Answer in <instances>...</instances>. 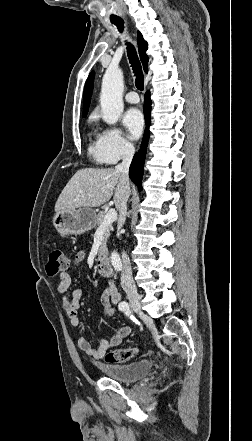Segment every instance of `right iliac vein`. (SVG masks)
<instances>
[{"instance_id":"63e3f726","label":"right iliac vein","mask_w":252,"mask_h":441,"mask_svg":"<svg viewBox=\"0 0 252 441\" xmlns=\"http://www.w3.org/2000/svg\"><path fill=\"white\" fill-rule=\"evenodd\" d=\"M126 293L132 310L138 314H142L139 293L134 289L126 290Z\"/></svg>"}]
</instances>
